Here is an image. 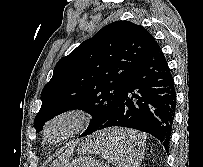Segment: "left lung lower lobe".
<instances>
[{
    "instance_id": "0a47b994",
    "label": "left lung lower lobe",
    "mask_w": 203,
    "mask_h": 167,
    "mask_svg": "<svg viewBox=\"0 0 203 167\" xmlns=\"http://www.w3.org/2000/svg\"><path fill=\"white\" fill-rule=\"evenodd\" d=\"M175 108L174 79L157 43L133 69L115 111L97 130L112 126L137 129L156 137L168 151ZM123 144L117 139L99 142L104 148H121Z\"/></svg>"
}]
</instances>
